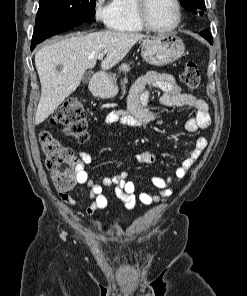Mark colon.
I'll use <instances>...</instances> for the list:
<instances>
[{
  "instance_id": "obj_1",
  "label": "colon",
  "mask_w": 247,
  "mask_h": 296,
  "mask_svg": "<svg viewBox=\"0 0 247 296\" xmlns=\"http://www.w3.org/2000/svg\"><path fill=\"white\" fill-rule=\"evenodd\" d=\"M181 77L189 89L199 88L201 74L194 62L183 65ZM52 122L62 126L65 133L77 142H84L88 138L86 110L77 98L66 99L54 112ZM39 140L45 154L46 168L51 173L55 187L61 192L71 189L77 181L79 159L69 147L47 131L40 133Z\"/></svg>"
}]
</instances>
